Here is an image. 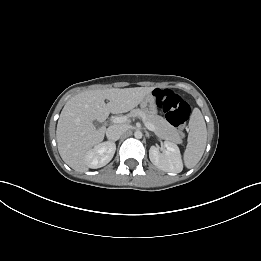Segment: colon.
Listing matches in <instances>:
<instances>
[{
	"label": "colon",
	"mask_w": 261,
	"mask_h": 261,
	"mask_svg": "<svg viewBox=\"0 0 261 261\" xmlns=\"http://www.w3.org/2000/svg\"><path fill=\"white\" fill-rule=\"evenodd\" d=\"M154 96L157 105L166 114L169 122L183 132L190 116L188 103L178 93L170 89H157Z\"/></svg>",
	"instance_id": "obj_1"
}]
</instances>
